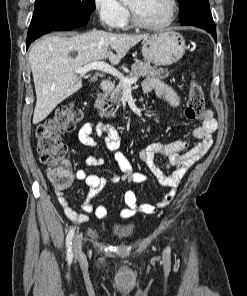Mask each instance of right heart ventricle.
Listing matches in <instances>:
<instances>
[{
  "mask_svg": "<svg viewBox=\"0 0 247 296\" xmlns=\"http://www.w3.org/2000/svg\"><path fill=\"white\" fill-rule=\"evenodd\" d=\"M123 27H127L128 23L125 21L124 24L122 25Z\"/></svg>",
  "mask_w": 247,
  "mask_h": 296,
  "instance_id": "obj_1",
  "label": "right heart ventricle"
}]
</instances>
